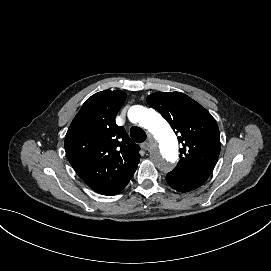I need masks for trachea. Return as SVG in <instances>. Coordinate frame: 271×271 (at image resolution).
Wrapping results in <instances>:
<instances>
[{
  "mask_svg": "<svg viewBox=\"0 0 271 271\" xmlns=\"http://www.w3.org/2000/svg\"><path fill=\"white\" fill-rule=\"evenodd\" d=\"M130 137L136 143H142L146 140L147 135L143 129L133 126L130 130Z\"/></svg>",
  "mask_w": 271,
  "mask_h": 271,
  "instance_id": "1",
  "label": "trachea"
}]
</instances>
